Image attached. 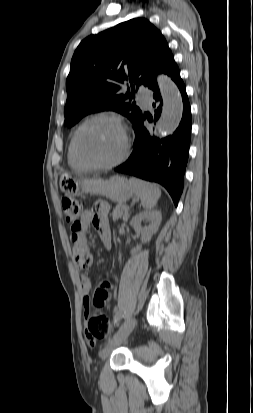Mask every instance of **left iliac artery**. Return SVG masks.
<instances>
[{"mask_svg":"<svg viewBox=\"0 0 253 413\" xmlns=\"http://www.w3.org/2000/svg\"><path fill=\"white\" fill-rule=\"evenodd\" d=\"M120 318H121V315H120V314L117 315V316L115 317V319H114L115 323H116V321L119 320Z\"/></svg>","mask_w":253,"mask_h":413,"instance_id":"44dca946","label":"left iliac artery"}]
</instances>
